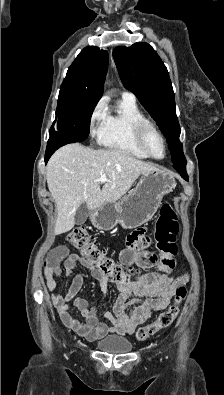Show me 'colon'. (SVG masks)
Listing matches in <instances>:
<instances>
[{
	"mask_svg": "<svg viewBox=\"0 0 224 395\" xmlns=\"http://www.w3.org/2000/svg\"><path fill=\"white\" fill-rule=\"evenodd\" d=\"M178 230L177 216L173 207L170 204H164L160 209L154 234L157 243L156 246L161 256L160 270L164 273L175 266L173 256L177 252L175 239ZM68 241L80 251L86 262L97 267L102 273L108 275L113 280L125 281L126 275L122 268L113 259L100 251L86 229H73L68 235ZM186 294L187 290L185 286L180 285L176 290L173 303L161 312L154 321L140 327L136 331V338L139 341H144L169 327L178 316L180 305Z\"/></svg>",
	"mask_w": 224,
	"mask_h": 395,
	"instance_id": "1",
	"label": "colon"
}]
</instances>
